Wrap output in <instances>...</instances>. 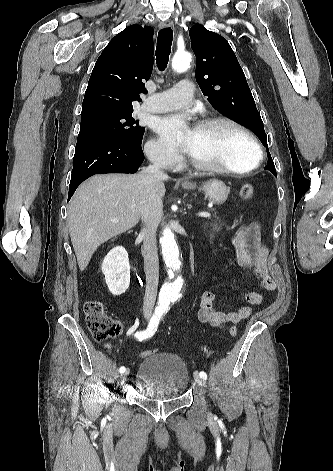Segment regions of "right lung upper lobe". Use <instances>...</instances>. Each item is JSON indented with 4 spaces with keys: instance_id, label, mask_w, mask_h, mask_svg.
I'll return each mask as SVG.
<instances>
[{
    "instance_id": "obj_1",
    "label": "right lung upper lobe",
    "mask_w": 333,
    "mask_h": 471,
    "mask_svg": "<svg viewBox=\"0 0 333 471\" xmlns=\"http://www.w3.org/2000/svg\"><path fill=\"white\" fill-rule=\"evenodd\" d=\"M153 28L128 26L99 56L85 92L81 118L133 109L153 69Z\"/></svg>"
}]
</instances>
